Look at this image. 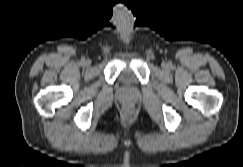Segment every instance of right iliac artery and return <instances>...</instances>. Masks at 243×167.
<instances>
[{
	"label": "right iliac artery",
	"mask_w": 243,
	"mask_h": 167,
	"mask_svg": "<svg viewBox=\"0 0 243 167\" xmlns=\"http://www.w3.org/2000/svg\"><path fill=\"white\" fill-rule=\"evenodd\" d=\"M83 62H84V61H83V60H81V64H83Z\"/></svg>",
	"instance_id": "obj_1"
}]
</instances>
